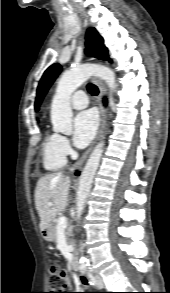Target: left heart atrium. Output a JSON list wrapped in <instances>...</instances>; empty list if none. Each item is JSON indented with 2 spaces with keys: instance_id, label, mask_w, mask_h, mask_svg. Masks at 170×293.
I'll return each mask as SVG.
<instances>
[{
  "instance_id": "1",
  "label": "left heart atrium",
  "mask_w": 170,
  "mask_h": 293,
  "mask_svg": "<svg viewBox=\"0 0 170 293\" xmlns=\"http://www.w3.org/2000/svg\"><path fill=\"white\" fill-rule=\"evenodd\" d=\"M98 126L97 115L88 110L78 114L73 121L72 139L78 148H84L95 136Z\"/></svg>"
}]
</instances>
